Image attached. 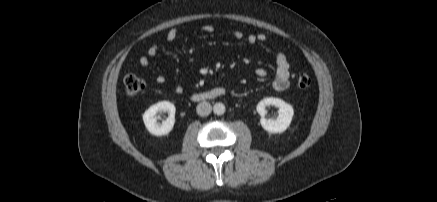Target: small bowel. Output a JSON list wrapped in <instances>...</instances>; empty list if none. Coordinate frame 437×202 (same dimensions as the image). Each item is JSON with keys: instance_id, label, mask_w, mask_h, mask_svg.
<instances>
[{"instance_id": "small-bowel-1", "label": "small bowel", "mask_w": 437, "mask_h": 202, "mask_svg": "<svg viewBox=\"0 0 437 202\" xmlns=\"http://www.w3.org/2000/svg\"><path fill=\"white\" fill-rule=\"evenodd\" d=\"M202 31L205 33H212L214 31V27L211 25H205L202 27ZM178 37V30L175 28L170 29L166 34V42L172 43L174 42ZM233 37L237 40H241L244 38V34L241 31H234ZM267 40V36L264 33H258V34H250L247 36V41L249 44H259L264 43ZM160 50V46L158 44H152L148 49L145 55L141 56L139 59V63L143 68H149L150 67V59L154 58ZM275 61H276V72L275 77L272 82V86L277 91H284L286 90L290 85V70H291V63L286 57V55L282 52H277L275 55ZM256 75L258 77H265L267 74V71L264 68H258L255 71ZM153 75L155 78V81L158 84H163L165 82V77L163 74L153 71ZM173 91L177 94L182 93L183 88L180 85H175L173 87Z\"/></svg>"}]
</instances>
